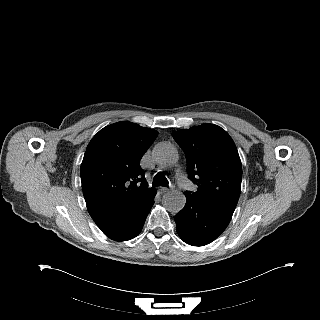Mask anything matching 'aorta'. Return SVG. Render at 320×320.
<instances>
[{
  "instance_id": "obj_1",
  "label": "aorta",
  "mask_w": 320,
  "mask_h": 320,
  "mask_svg": "<svg viewBox=\"0 0 320 320\" xmlns=\"http://www.w3.org/2000/svg\"><path fill=\"white\" fill-rule=\"evenodd\" d=\"M152 158L160 167L169 168L177 163L178 152L172 144L162 142L154 147ZM162 203L169 212L178 213L185 206L186 197L180 191H170L164 194Z\"/></svg>"
}]
</instances>
